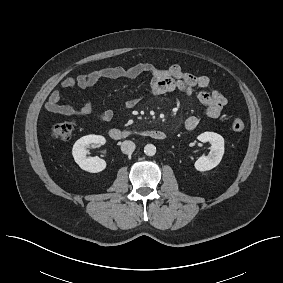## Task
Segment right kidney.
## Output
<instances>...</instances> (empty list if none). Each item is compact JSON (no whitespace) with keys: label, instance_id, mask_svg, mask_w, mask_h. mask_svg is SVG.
I'll return each mask as SVG.
<instances>
[{"label":"right kidney","instance_id":"obj_1","mask_svg":"<svg viewBox=\"0 0 283 283\" xmlns=\"http://www.w3.org/2000/svg\"><path fill=\"white\" fill-rule=\"evenodd\" d=\"M106 142L105 138L100 135H87L78 139L72 150V154L75 162L79 167L90 173H98L106 168L105 160L99 157H87V147L94 143L104 145Z\"/></svg>","mask_w":283,"mask_h":283}]
</instances>
